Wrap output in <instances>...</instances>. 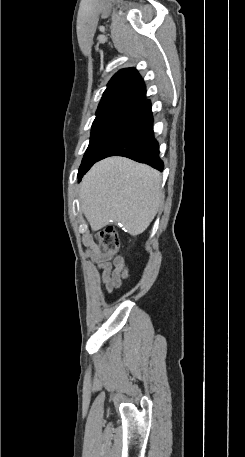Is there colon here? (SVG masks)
<instances>
[{"label":"colon","instance_id":"colon-1","mask_svg":"<svg viewBox=\"0 0 245 457\" xmlns=\"http://www.w3.org/2000/svg\"><path fill=\"white\" fill-rule=\"evenodd\" d=\"M96 241L103 246L107 254L115 252L120 247V237L117 229L108 226L96 236Z\"/></svg>","mask_w":245,"mask_h":457}]
</instances>
